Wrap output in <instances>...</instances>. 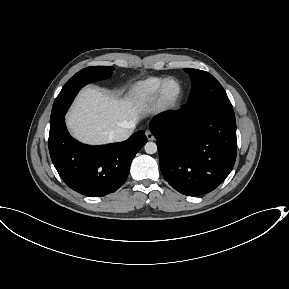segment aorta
<instances>
[{"label":"aorta","instance_id":"aorta-1","mask_svg":"<svg viewBox=\"0 0 289 289\" xmlns=\"http://www.w3.org/2000/svg\"><path fill=\"white\" fill-rule=\"evenodd\" d=\"M145 152L148 154H154L157 152V145L154 142H147L144 146Z\"/></svg>","mask_w":289,"mask_h":289}]
</instances>
